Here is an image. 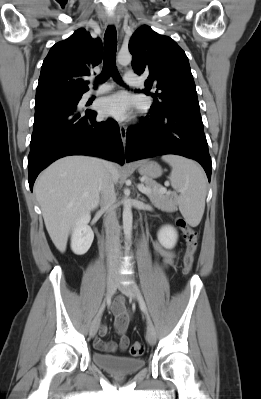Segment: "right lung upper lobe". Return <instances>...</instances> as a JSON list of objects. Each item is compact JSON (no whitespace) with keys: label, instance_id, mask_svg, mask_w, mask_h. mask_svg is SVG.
<instances>
[{"label":"right lung upper lobe","instance_id":"cb5924a9","mask_svg":"<svg viewBox=\"0 0 261 399\" xmlns=\"http://www.w3.org/2000/svg\"><path fill=\"white\" fill-rule=\"evenodd\" d=\"M102 42L85 29L56 43L43 61L36 90V102L59 97L82 95L88 91L83 76L102 61Z\"/></svg>","mask_w":261,"mask_h":399}]
</instances>
